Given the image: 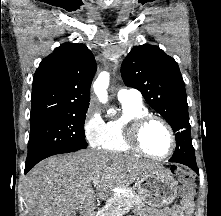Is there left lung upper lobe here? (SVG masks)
<instances>
[{
	"label": "left lung upper lobe",
	"mask_w": 221,
	"mask_h": 216,
	"mask_svg": "<svg viewBox=\"0 0 221 216\" xmlns=\"http://www.w3.org/2000/svg\"><path fill=\"white\" fill-rule=\"evenodd\" d=\"M121 74L125 85L139 90L170 124L176 145L194 150L185 83L177 62L157 46H135L124 59Z\"/></svg>",
	"instance_id": "obj_1"
}]
</instances>
